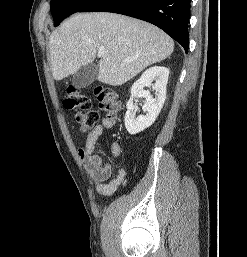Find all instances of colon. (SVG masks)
Returning <instances> with one entry per match:
<instances>
[{"instance_id":"colon-1","label":"colon","mask_w":247,"mask_h":257,"mask_svg":"<svg viewBox=\"0 0 247 257\" xmlns=\"http://www.w3.org/2000/svg\"><path fill=\"white\" fill-rule=\"evenodd\" d=\"M99 108L108 118H114L120 111L121 104L117 93L108 87L97 86L94 90ZM66 109L75 112V120L82 131L94 128L99 119V113L92 107L91 100L75 86H69L63 99Z\"/></svg>"}]
</instances>
